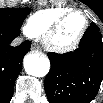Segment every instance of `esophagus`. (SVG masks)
<instances>
[{"mask_svg": "<svg viewBox=\"0 0 103 103\" xmlns=\"http://www.w3.org/2000/svg\"><path fill=\"white\" fill-rule=\"evenodd\" d=\"M33 50H37L38 49V47H37V45L36 44H32V47H31Z\"/></svg>", "mask_w": 103, "mask_h": 103, "instance_id": "obj_1", "label": "esophagus"}]
</instances>
